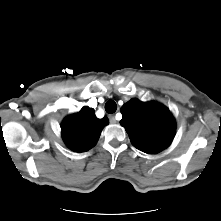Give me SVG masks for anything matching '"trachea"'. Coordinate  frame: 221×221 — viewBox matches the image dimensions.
I'll list each match as a JSON object with an SVG mask.
<instances>
[{
	"mask_svg": "<svg viewBox=\"0 0 221 221\" xmlns=\"http://www.w3.org/2000/svg\"><path fill=\"white\" fill-rule=\"evenodd\" d=\"M116 110H117V104H116L113 100H109V101L105 104V111H106L108 114H113Z\"/></svg>",
	"mask_w": 221,
	"mask_h": 221,
	"instance_id": "1",
	"label": "trachea"
}]
</instances>
